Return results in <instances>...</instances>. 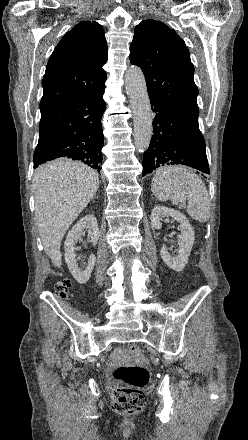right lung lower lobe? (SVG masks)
<instances>
[{
	"instance_id": "obj_1",
	"label": "right lung lower lobe",
	"mask_w": 248,
	"mask_h": 440,
	"mask_svg": "<svg viewBox=\"0 0 248 440\" xmlns=\"http://www.w3.org/2000/svg\"><path fill=\"white\" fill-rule=\"evenodd\" d=\"M103 93L78 96L41 111L34 168L67 157L100 171L104 143L101 117L106 109Z\"/></svg>"
}]
</instances>
